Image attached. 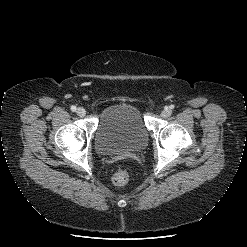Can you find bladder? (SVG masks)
<instances>
[{"mask_svg": "<svg viewBox=\"0 0 247 247\" xmlns=\"http://www.w3.org/2000/svg\"><path fill=\"white\" fill-rule=\"evenodd\" d=\"M148 129L140 108L134 103L110 105L101 114L94 136V145L102 155L133 152L148 142Z\"/></svg>", "mask_w": 247, "mask_h": 247, "instance_id": "1", "label": "bladder"}]
</instances>
